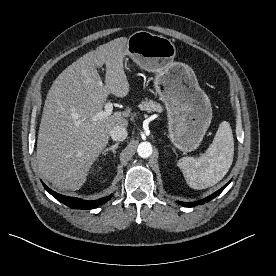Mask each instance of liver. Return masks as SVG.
<instances>
[{
  "instance_id": "liver-1",
  "label": "liver",
  "mask_w": 276,
  "mask_h": 276,
  "mask_svg": "<svg viewBox=\"0 0 276 276\" xmlns=\"http://www.w3.org/2000/svg\"><path fill=\"white\" fill-rule=\"evenodd\" d=\"M128 38L98 46L71 65L53 82L43 109L37 140L40 172L58 188L76 191L109 141L115 126H128L131 109L93 121L109 94L128 95L123 61ZM106 65L105 84L97 68Z\"/></svg>"
}]
</instances>
